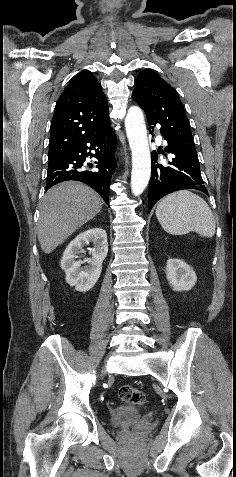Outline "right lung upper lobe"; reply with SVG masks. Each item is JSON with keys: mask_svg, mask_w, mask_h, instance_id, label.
Returning <instances> with one entry per match:
<instances>
[{"mask_svg": "<svg viewBox=\"0 0 236 477\" xmlns=\"http://www.w3.org/2000/svg\"><path fill=\"white\" fill-rule=\"evenodd\" d=\"M110 123L107 99L93 74L83 70L63 90L51 123L49 157L60 158Z\"/></svg>", "mask_w": 236, "mask_h": 477, "instance_id": "obj_1", "label": "right lung upper lobe"}]
</instances>
